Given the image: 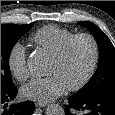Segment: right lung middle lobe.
Returning a JSON list of instances; mask_svg holds the SVG:
<instances>
[{
  "label": "right lung middle lobe",
  "instance_id": "1",
  "mask_svg": "<svg viewBox=\"0 0 115 115\" xmlns=\"http://www.w3.org/2000/svg\"><path fill=\"white\" fill-rule=\"evenodd\" d=\"M32 25L33 23L24 25H1V90L15 86L9 68L10 53L17 40L22 37Z\"/></svg>",
  "mask_w": 115,
  "mask_h": 115
}]
</instances>
